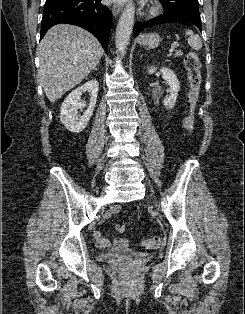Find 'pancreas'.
Wrapping results in <instances>:
<instances>
[{"label":"pancreas","mask_w":245,"mask_h":314,"mask_svg":"<svg viewBox=\"0 0 245 314\" xmlns=\"http://www.w3.org/2000/svg\"><path fill=\"white\" fill-rule=\"evenodd\" d=\"M182 55H183L182 51H181V50H178V51L176 52V54H175V57H179V56H182Z\"/></svg>","instance_id":"pancreas-1"}]
</instances>
